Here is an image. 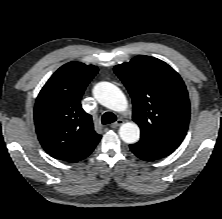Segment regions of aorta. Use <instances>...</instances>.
<instances>
[{"label":"aorta","instance_id":"1","mask_svg":"<svg viewBox=\"0 0 222 219\" xmlns=\"http://www.w3.org/2000/svg\"><path fill=\"white\" fill-rule=\"evenodd\" d=\"M93 95L99 103L113 111L123 112L127 109L128 102L124 93L110 82L97 83ZM119 135L126 143H136L140 138V129L136 123L127 122L121 125Z\"/></svg>","mask_w":222,"mask_h":219}]
</instances>
